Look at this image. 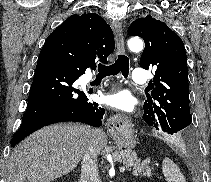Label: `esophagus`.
Instances as JSON below:
<instances>
[{
    "label": "esophagus",
    "instance_id": "obj_1",
    "mask_svg": "<svg viewBox=\"0 0 211 182\" xmlns=\"http://www.w3.org/2000/svg\"><path fill=\"white\" fill-rule=\"evenodd\" d=\"M112 29L115 35L116 45L119 52L125 51V44H124V36H123V28L120 22L115 21L112 24ZM125 117L122 115H114L112 118L109 119L108 124L110 126H120L121 124L125 123Z\"/></svg>",
    "mask_w": 211,
    "mask_h": 182
}]
</instances>
